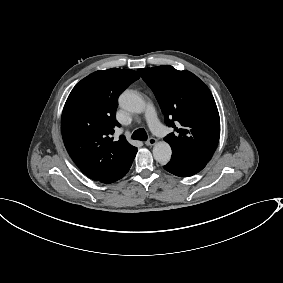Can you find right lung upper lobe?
I'll return each instance as SVG.
<instances>
[{
  "label": "right lung upper lobe",
  "mask_w": 283,
  "mask_h": 283,
  "mask_svg": "<svg viewBox=\"0 0 283 283\" xmlns=\"http://www.w3.org/2000/svg\"><path fill=\"white\" fill-rule=\"evenodd\" d=\"M139 79L134 70L112 68L82 79L65 103L61 129L65 147L78 168L102 183L121 179L130 169L137 148L124 136L113 141L118 97Z\"/></svg>",
  "instance_id": "right-lung-upper-lobe-1"
}]
</instances>
